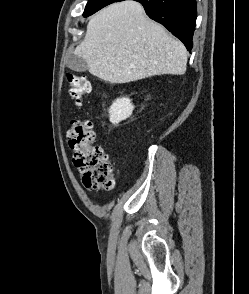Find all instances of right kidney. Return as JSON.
<instances>
[{
	"label": "right kidney",
	"mask_w": 249,
	"mask_h": 294,
	"mask_svg": "<svg viewBox=\"0 0 249 294\" xmlns=\"http://www.w3.org/2000/svg\"><path fill=\"white\" fill-rule=\"evenodd\" d=\"M134 106L127 97L117 99L109 109V118L112 124H118L122 120L129 118Z\"/></svg>",
	"instance_id": "ca27d5eb"
}]
</instances>
